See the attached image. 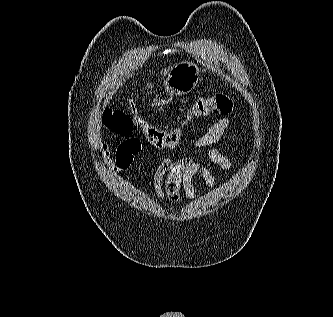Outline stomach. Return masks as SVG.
Wrapping results in <instances>:
<instances>
[{"mask_svg": "<svg viewBox=\"0 0 333 317\" xmlns=\"http://www.w3.org/2000/svg\"><path fill=\"white\" fill-rule=\"evenodd\" d=\"M198 80V66L191 62H181L168 71L164 87L169 94L186 95L195 88Z\"/></svg>", "mask_w": 333, "mask_h": 317, "instance_id": "stomach-1", "label": "stomach"}]
</instances>
